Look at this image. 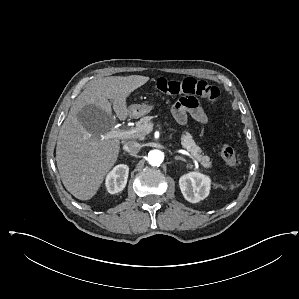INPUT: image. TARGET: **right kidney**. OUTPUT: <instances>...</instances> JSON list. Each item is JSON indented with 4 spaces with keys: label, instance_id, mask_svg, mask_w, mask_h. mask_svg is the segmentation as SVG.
I'll return each mask as SVG.
<instances>
[{
    "label": "right kidney",
    "instance_id": "obj_1",
    "mask_svg": "<svg viewBox=\"0 0 299 299\" xmlns=\"http://www.w3.org/2000/svg\"><path fill=\"white\" fill-rule=\"evenodd\" d=\"M129 167L125 164H119L106 177V188L110 194L122 191L127 183Z\"/></svg>",
    "mask_w": 299,
    "mask_h": 299
}]
</instances>
